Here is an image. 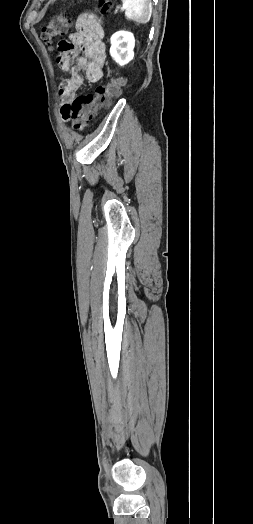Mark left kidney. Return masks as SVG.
<instances>
[{
  "mask_svg": "<svg viewBox=\"0 0 253 524\" xmlns=\"http://www.w3.org/2000/svg\"><path fill=\"white\" fill-rule=\"evenodd\" d=\"M110 55L121 66L129 63L134 57L135 39L132 33L119 31L112 35Z\"/></svg>",
  "mask_w": 253,
  "mask_h": 524,
  "instance_id": "5707ae66",
  "label": "left kidney"
}]
</instances>
